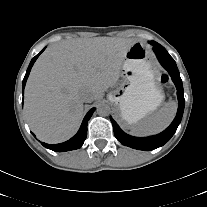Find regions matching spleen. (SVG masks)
Masks as SVG:
<instances>
[{
    "label": "spleen",
    "mask_w": 207,
    "mask_h": 207,
    "mask_svg": "<svg viewBox=\"0 0 207 207\" xmlns=\"http://www.w3.org/2000/svg\"><path fill=\"white\" fill-rule=\"evenodd\" d=\"M177 111V103L170 101L166 103L160 110L146 117L131 127V134L136 136H146L156 134L164 130L175 117Z\"/></svg>",
    "instance_id": "3e777b00"
}]
</instances>
